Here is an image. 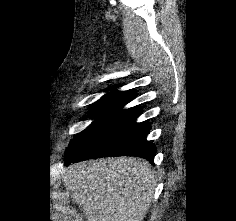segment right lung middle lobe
<instances>
[{"mask_svg": "<svg viewBox=\"0 0 236 221\" xmlns=\"http://www.w3.org/2000/svg\"><path fill=\"white\" fill-rule=\"evenodd\" d=\"M135 97L134 94H108L102 97L94 105L91 111L92 117L95 118L93 123L84 131L76 135L66 149L65 157L74 152L83 142L92 136L109 118L114 116L121 108Z\"/></svg>", "mask_w": 236, "mask_h": 221, "instance_id": "1", "label": "right lung middle lobe"}]
</instances>
